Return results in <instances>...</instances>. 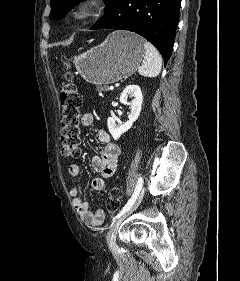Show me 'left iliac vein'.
Here are the masks:
<instances>
[{
	"mask_svg": "<svg viewBox=\"0 0 240 281\" xmlns=\"http://www.w3.org/2000/svg\"><path fill=\"white\" fill-rule=\"evenodd\" d=\"M145 194V188L142 189L138 200L136 201V203L127 211L125 212L123 215H121L110 227V230L107 234V243L108 246L110 248V250L115 253L117 251V244H116V234L118 231L119 226L121 225V223L138 207V205L140 204V202L143 199V196Z\"/></svg>",
	"mask_w": 240,
	"mask_h": 281,
	"instance_id": "4c4485c4",
	"label": "left iliac vein"
}]
</instances>
